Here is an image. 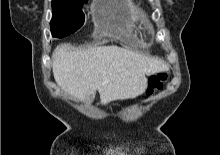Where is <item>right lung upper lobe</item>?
Listing matches in <instances>:
<instances>
[{
	"label": "right lung upper lobe",
	"instance_id": "cb5924a9",
	"mask_svg": "<svg viewBox=\"0 0 220 155\" xmlns=\"http://www.w3.org/2000/svg\"><path fill=\"white\" fill-rule=\"evenodd\" d=\"M52 1H57V0H52ZM69 1H80V2H84V1H87V0H69Z\"/></svg>",
	"mask_w": 220,
	"mask_h": 155
}]
</instances>
